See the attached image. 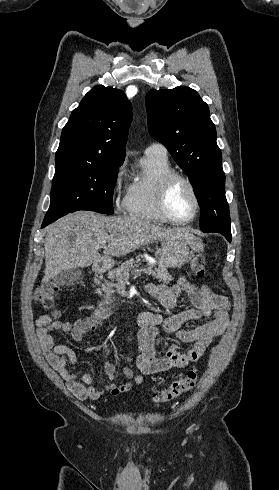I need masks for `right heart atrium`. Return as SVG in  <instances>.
I'll list each match as a JSON object with an SVG mask.
<instances>
[{"label": "right heart atrium", "instance_id": "1", "mask_svg": "<svg viewBox=\"0 0 279 490\" xmlns=\"http://www.w3.org/2000/svg\"><path fill=\"white\" fill-rule=\"evenodd\" d=\"M112 192H113L114 205L118 209H121L122 207L125 208L127 198L125 200H121V195L123 193H127L128 196L129 186L126 180V171L124 166L119 167L114 175Z\"/></svg>", "mask_w": 279, "mask_h": 490}]
</instances>
